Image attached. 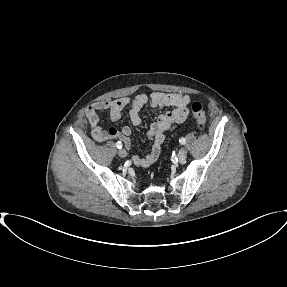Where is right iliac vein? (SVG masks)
<instances>
[{
  "label": "right iliac vein",
  "instance_id": "63e3f726",
  "mask_svg": "<svg viewBox=\"0 0 287 287\" xmlns=\"http://www.w3.org/2000/svg\"><path fill=\"white\" fill-rule=\"evenodd\" d=\"M118 155L121 157V158H125L127 156V152L125 149H120L118 151Z\"/></svg>",
  "mask_w": 287,
  "mask_h": 287
}]
</instances>
